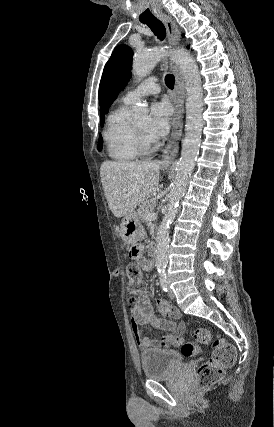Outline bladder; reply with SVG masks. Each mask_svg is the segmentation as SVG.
Instances as JSON below:
<instances>
[{
    "instance_id": "1",
    "label": "bladder",
    "mask_w": 274,
    "mask_h": 427,
    "mask_svg": "<svg viewBox=\"0 0 274 427\" xmlns=\"http://www.w3.org/2000/svg\"><path fill=\"white\" fill-rule=\"evenodd\" d=\"M181 356L173 349H147L140 353L144 376L149 380L171 377L180 368Z\"/></svg>"
}]
</instances>
